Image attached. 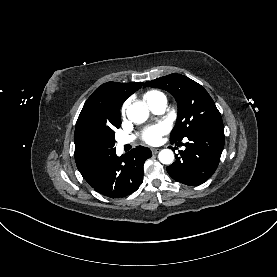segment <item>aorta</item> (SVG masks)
Masks as SVG:
<instances>
[{
  "instance_id": "762f6f07",
  "label": "aorta",
  "mask_w": 277,
  "mask_h": 277,
  "mask_svg": "<svg viewBox=\"0 0 277 277\" xmlns=\"http://www.w3.org/2000/svg\"><path fill=\"white\" fill-rule=\"evenodd\" d=\"M126 114L129 120L134 123H143L148 119L149 110L141 102H135L128 106ZM159 161L163 164H171L174 161L173 151L170 149H163L158 155Z\"/></svg>"
}]
</instances>
